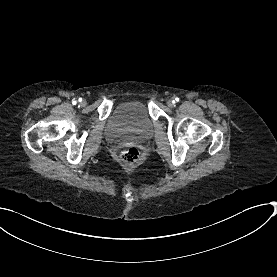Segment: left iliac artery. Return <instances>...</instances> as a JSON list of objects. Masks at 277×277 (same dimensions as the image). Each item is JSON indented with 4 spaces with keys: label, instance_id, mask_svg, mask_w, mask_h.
<instances>
[{
    "label": "left iliac artery",
    "instance_id": "obj_1",
    "mask_svg": "<svg viewBox=\"0 0 277 277\" xmlns=\"http://www.w3.org/2000/svg\"><path fill=\"white\" fill-rule=\"evenodd\" d=\"M175 100H176V102H178V101H179V98H176Z\"/></svg>",
    "mask_w": 277,
    "mask_h": 277
}]
</instances>
